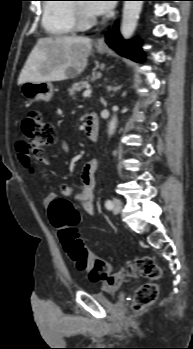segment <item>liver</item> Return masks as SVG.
Segmentation results:
<instances>
[{"mask_svg": "<svg viewBox=\"0 0 193 349\" xmlns=\"http://www.w3.org/2000/svg\"><path fill=\"white\" fill-rule=\"evenodd\" d=\"M92 42L86 37L51 36L37 40L19 75L24 82H52L80 74L87 65Z\"/></svg>", "mask_w": 193, "mask_h": 349, "instance_id": "obj_1", "label": "liver"}]
</instances>
